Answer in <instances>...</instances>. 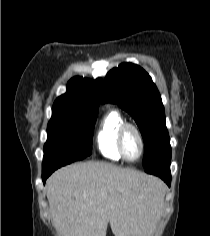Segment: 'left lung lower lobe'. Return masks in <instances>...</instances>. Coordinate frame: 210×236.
Here are the masks:
<instances>
[{"mask_svg":"<svg viewBox=\"0 0 210 236\" xmlns=\"http://www.w3.org/2000/svg\"><path fill=\"white\" fill-rule=\"evenodd\" d=\"M170 162H171V149L166 151L163 155L155 159L151 164L144 167L145 172L159 176L164 180L168 186L171 184V173H170Z\"/></svg>","mask_w":210,"mask_h":236,"instance_id":"obj_1","label":"left lung lower lobe"}]
</instances>
